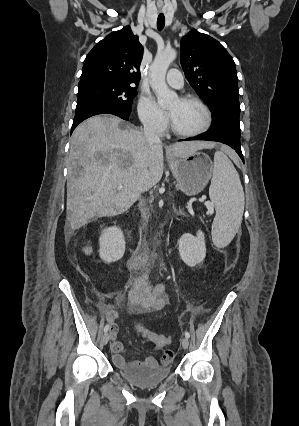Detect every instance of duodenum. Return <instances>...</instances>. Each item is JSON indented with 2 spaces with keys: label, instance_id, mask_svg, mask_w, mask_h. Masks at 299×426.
Masks as SVG:
<instances>
[{
  "label": "duodenum",
  "instance_id": "1",
  "mask_svg": "<svg viewBox=\"0 0 299 426\" xmlns=\"http://www.w3.org/2000/svg\"><path fill=\"white\" fill-rule=\"evenodd\" d=\"M139 260H140V261H142V260H143V258H140Z\"/></svg>",
  "mask_w": 299,
  "mask_h": 426
}]
</instances>
